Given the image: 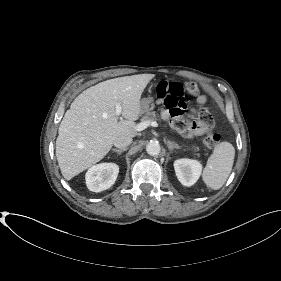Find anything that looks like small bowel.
<instances>
[{
	"mask_svg": "<svg viewBox=\"0 0 281 281\" xmlns=\"http://www.w3.org/2000/svg\"><path fill=\"white\" fill-rule=\"evenodd\" d=\"M197 104L203 108V110L208 111L206 107L207 99L204 95H200L196 99ZM163 120L170 123L171 127L180 135L184 137H193L202 135L205 130L202 128V125L199 121H192L188 124L183 123L180 119L172 118L168 110L162 111Z\"/></svg>",
	"mask_w": 281,
	"mask_h": 281,
	"instance_id": "1",
	"label": "small bowel"
}]
</instances>
